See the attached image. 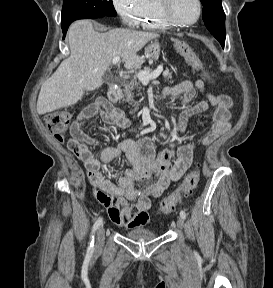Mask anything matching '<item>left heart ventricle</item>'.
Masks as SVG:
<instances>
[{"label": "left heart ventricle", "mask_w": 273, "mask_h": 288, "mask_svg": "<svg viewBox=\"0 0 273 288\" xmlns=\"http://www.w3.org/2000/svg\"><path fill=\"white\" fill-rule=\"evenodd\" d=\"M171 14L177 21L188 22L197 15L196 0H172Z\"/></svg>", "instance_id": "1"}]
</instances>
